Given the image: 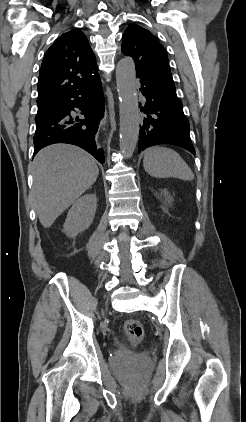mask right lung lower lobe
I'll return each mask as SVG.
<instances>
[{
  "label": "right lung lower lobe",
  "mask_w": 246,
  "mask_h": 422,
  "mask_svg": "<svg viewBox=\"0 0 246 422\" xmlns=\"http://www.w3.org/2000/svg\"><path fill=\"white\" fill-rule=\"evenodd\" d=\"M79 108L84 119L71 114ZM104 96L99 75L87 86L72 92L40 110L35 117L34 155L54 143L77 145L104 163L103 150L96 144L98 125L103 118Z\"/></svg>",
  "instance_id": "obj_1"
}]
</instances>
